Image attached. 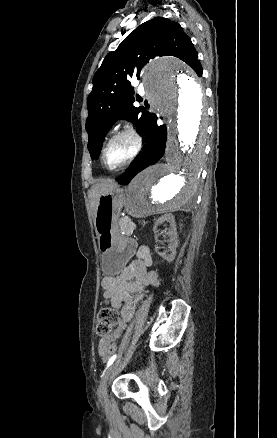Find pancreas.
<instances>
[{"instance_id": "obj_1", "label": "pancreas", "mask_w": 277, "mask_h": 438, "mask_svg": "<svg viewBox=\"0 0 277 438\" xmlns=\"http://www.w3.org/2000/svg\"><path fill=\"white\" fill-rule=\"evenodd\" d=\"M127 224H123L122 226H121V228H122V232L123 233H135L136 232V225L135 224H132L133 222H132V220H127V222H126Z\"/></svg>"}]
</instances>
